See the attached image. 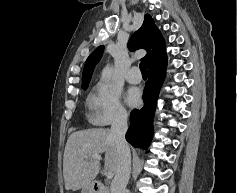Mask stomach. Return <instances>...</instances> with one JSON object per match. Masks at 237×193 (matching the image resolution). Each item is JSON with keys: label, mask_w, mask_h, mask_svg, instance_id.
<instances>
[{"label": "stomach", "mask_w": 237, "mask_h": 193, "mask_svg": "<svg viewBox=\"0 0 237 193\" xmlns=\"http://www.w3.org/2000/svg\"><path fill=\"white\" fill-rule=\"evenodd\" d=\"M81 193H96L93 183L83 187Z\"/></svg>", "instance_id": "stomach-1"}]
</instances>
